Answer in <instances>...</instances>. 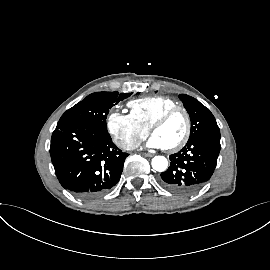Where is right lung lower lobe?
<instances>
[{"label": "right lung lower lobe", "instance_id": "1", "mask_svg": "<svg viewBox=\"0 0 270 270\" xmlns=\"http://www.w3.org/2000/svg\"><path fill=\"white\" fill-rule=\"evenodd\" d=\"M50 155L62 187L85 199L116 185L128 156L117 148L107 131L88 123L57 125Z\"/></svg>", "mask_w": 270, "mask_h": 270}]
</instances>
